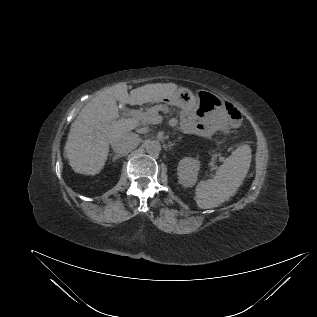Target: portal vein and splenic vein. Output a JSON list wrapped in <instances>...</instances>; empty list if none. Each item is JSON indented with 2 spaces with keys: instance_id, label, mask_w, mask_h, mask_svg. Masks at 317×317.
<instances>
[{
  "instance_id": "18ae733b",
  "label": "portal vein and splenic vein",
  "mask_w": 317,
  "mask_h": 317,
  "mask_svg": "<svg viewBox=\"0 0 317 317\" xmlns=\"http://www.w3.org/2000/svg\"><path fill=\"white\" fill-rule=\"evenodd\" d=\"M127 116L132 117L133 119L139 121L149 120L151 124H158L161 123L163 117L161 115L155 117H148L145 112H140L139 110H131L126 113Z\"/></svg>"
}]
</instances>
